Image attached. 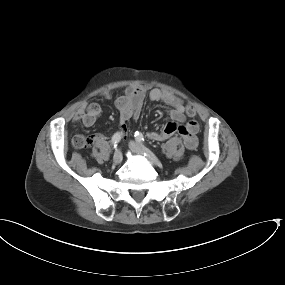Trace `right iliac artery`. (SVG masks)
Wrapping results in <instances>:
<instances>
[{
  "label": "right iliac artery",
  "mask_w": 285,
  "mask_h": 285,
  "mask_svg": "<svg viewBox=\"0 0 285 285\" xmlns=\"http://www.w3.org/2000/svg\"><path fill=\"white\" fill-rule=\"evenodd\" d=\"M121 141V134L120 133H115L112 137L111 144L116 148Z\"/></svg>",
  "instance_id": "obj_1"
}]
</instances>
